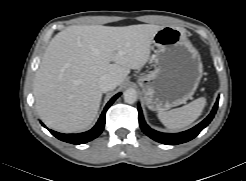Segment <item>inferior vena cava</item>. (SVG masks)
<instances>
[{
    "label": "inferior vena cava",
    "mask_w": 246,
    "mask_h": 181,
    "mask_svg": "<svg viewBox=\"0 0 246 181\" xmlns=\"http://www.w3.org/2000/svg\"><path fill=\"white\" fill-rule=\"evenodd\" d=\"M117 86L116 80L109 74L102 75L98 80V87L101 92H108L115 89Z\"/></svg>",
    "instance_id": "obj_1"
}]
</instances>
